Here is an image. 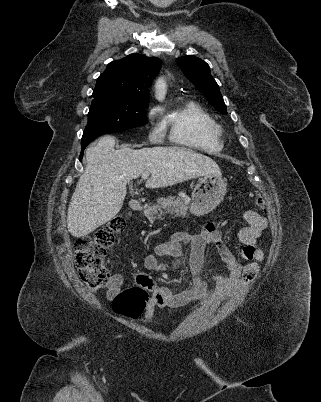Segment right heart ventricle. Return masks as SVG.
Listing matches in <instances>:
<instances>
[{
    "mask_svg": "<svg viewBox=\"0 0 321 402\" xmlns=\"http://www.w3.org/2000/svg\"><path fill=\"white\" fill-rule=\"evenodd\" d=\"M160 130L172 144L204 152L223 148L221 130L214 118L200 104L187 101L162 117Z\"/></svg>",
    "mask_w": 321,
    "mask_h": 402,
    "instance_id": "right-heart-ventricle-1",
    "label": "right heart ventricle"
}]
</instances>
